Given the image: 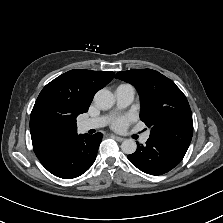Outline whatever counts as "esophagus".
<instances>
[{"instance_id":"obj_1","label":"esophagus","mask_w":223,"mask_h":223,"mask_svg":"<svg viewBox=\"0 0 223 223\" xmlns=\"http://www.w3.org/2000/svg\"><path fill=\"white\" fill-rule=\"evenodd\" d=\"M114 139H115L116 141H118V142H122V141H124V138L119 137V136H114Z\"/></svg>"}]
</instances>
